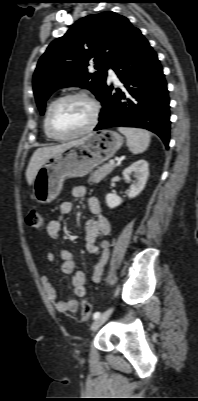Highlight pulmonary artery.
Masks as SVG:
<instances>
[{"instance_id":"obj_1","label":"pulmonary artery","mask_w":198,"mask_h":401,"mask_svg":"<svg viewBox=\"0 0 198 401\" xmlns=\"http://www.w3.org/2000/svg\"><path fill=\"white\" fill-rule=\"evenodd\" d=\"M108 77H109V79L117 82V76H116L115 72L112 69L108 70Z\"/></svg>"}]
</instances>
